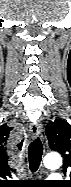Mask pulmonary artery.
Instances as JSON below:
<instances>
[{"mask_svg": "<svg viewBox=\"0 0 71 187\" xmlns=\"http://www.w3.org/2000/svg\"><path fill=\"white\" fill-rule=\"evenodd\" d=\"M58 178H60V176H59L58 174H51V175L49 176V179H51V180H53V179H58Z\"/></svg>", "mask_w": 71, "mask_h": 187, "instance_id": "e3ab8cb5", "label": "pulmonary artery"}]
</instances>
